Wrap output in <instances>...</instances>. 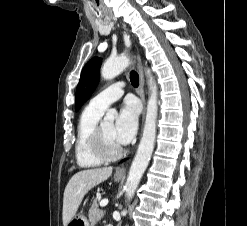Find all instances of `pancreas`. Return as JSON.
<instances>
[{"instance_id":"1","label":"pancreas","mask_w":247,"mask_h":226,"mask_svg":"<svg viewBox=\"0 0 247 226\" xmlns=\"http://www.w3.org/2000/svg\"><path fill=\"white\" fill-rule=\"evenodd\" d=\"M104 212L102 210L98 209V201L97 199H95L92 203V206L89 210V221L91 222V224H95L96 222H98L99 220H101L104 216Z\"/></svg>"}]
</instances>
